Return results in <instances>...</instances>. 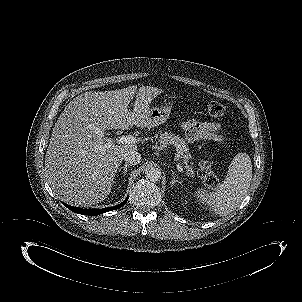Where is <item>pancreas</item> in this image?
Masks as SVG:
<instances>
[{
    "label": "pancreas",
    "mask_w": 302,
    "mask_h": 302,
    "mask_svg": "<svg viewBox=\"0 0 302 302\" xmlns=\"http://www.w3.org/2000/svg\"><path fill=\"white\" fill-rule=\"evenodd\" d=\"M156 138H158L159 143L162 145H171L175 147L177 154L179 155V161H181L187 174L193 177L194 171L193 162L191 161L192 156L189 152V146L187 142L178 135L170 132H162V130L159 131V135L156 136Z\"/></svg>",
    "instance_id": "obj_1"
}]
</instances>
